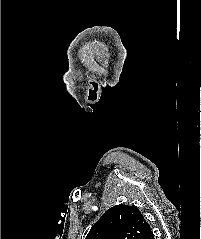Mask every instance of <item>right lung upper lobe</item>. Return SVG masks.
<instances>
[{
	"instance_id": "cb5924a9",
	"label": "right lung upper lobe",
	"mask_w": 201,
	"mask_h": 239,
	"mask_svg": "<svg viewBox=\"0 0 201 239\" xmlns=\"http://www.w3.org/2000/svg\"><path fill=\"white\" fill-rule=\"evenodd\" d=\"M149 224L135 206L115 205L93 225L86 239H154Z\"/></svg>"
}]
</instances>
